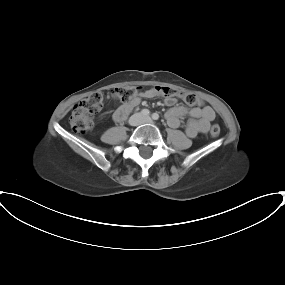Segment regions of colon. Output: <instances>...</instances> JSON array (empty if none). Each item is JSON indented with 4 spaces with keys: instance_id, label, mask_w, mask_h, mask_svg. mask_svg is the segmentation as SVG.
Here are the masks:
<instances>
[{
    "instance_id": "obj_1",
    "label": "colon",
    "mask_w": 285,
    "mask_h": 285,
    "mask_svg": "<svg viewBox=\"0 0 285 285\" xmlns=\"http://www.w3.org/2000/svg\"><path fill=\"white\" fill-rule=\"evenodd\" d=\"M148 90H152L166 97H179L185 104L192 107H198L201 105L200 100L194 93L178 88L155 86L151 87ZM139 91L140 88L133 86L117 87L111 90L110 97L116 101L127 102L131 100ZM103 106L104 95L101 92H94L80 101L77 105L74 106L69 118L72 129L76 133L80 134L89 131L94 124L95 115L103 109ZM220 132L221 128L218 124H213L211 126V136L217 137Z\"/></svg>"
}]
</instances>
